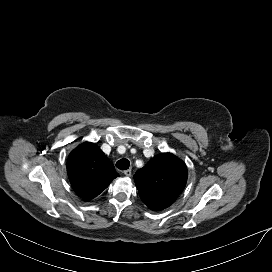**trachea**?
Here are the masks:
<instances>
[{
	"label": "trachea",
	"mask_w": 272,
	"mask_h": 272,
	"mask_svg": "<svg viewBox=\"0 0 272 272\" xmlns=\"http://www.w3.org/2000/svg\"><path fill=\"white\" fill-rule=\"evenodd\" d=\"M130 166V162L128 159L123 158L116 162V167L120 170H127Z\"/></svg>",
	"instance_id": "obj_1"
}]
</instances>
